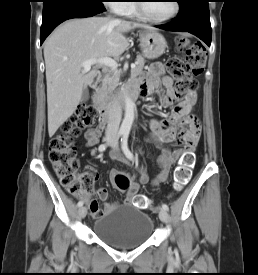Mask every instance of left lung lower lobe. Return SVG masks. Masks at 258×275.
I'll use <instances>...</instances> for the list:
<instances>
[{
  "instance_id": "0a47b994",
  "label": "left lung lower lobe",
  "mask_w": 258,
  "mask_h": 275,
  "mask_svg": "<svg viewBox=\"0 0 258 275\" xmlns=\"http://www.w3.org/2000/svg\"><path fill=\"white\" fill-rule=\"evenodd\" d=\"M208 2L209 0H181L180 13L174 21L156 27L192 33L210 46L212 29Z\"/></svg>"
}]
</instances>
